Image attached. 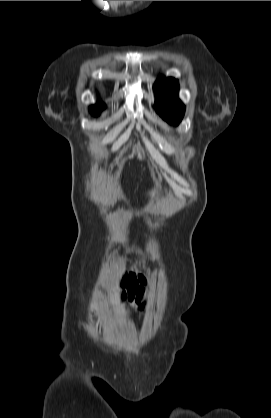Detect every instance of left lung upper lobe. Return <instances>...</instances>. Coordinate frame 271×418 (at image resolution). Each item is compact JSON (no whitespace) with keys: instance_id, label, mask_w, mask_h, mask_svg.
Wrapping results in <instances>:
<instances>
[{"instance_id":"1","label":"left lung upper lobe","mask_w":271,"mask_h":418,"mask_svg":"<svg viewBox=\"0 0 271 418\" xmlns=\"http://www.w3.org/2000/svg\"><path fill=\"white\" fill-rule=\"evenodd\" d=\"M154 92L156 111L167 122L178 125L185 112V106L178 99V81L174 78L160 77L155 82Z\"/></svg>"}]
</instances>
